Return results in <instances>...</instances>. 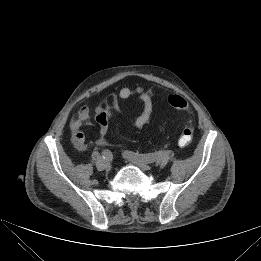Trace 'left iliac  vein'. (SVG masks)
Masks as SVG:
<instances>
[{"instance_id":"obj_1","label":"left iliac vein","mask_w":261,"mask_h":261,"mask_svg":"<svg viewBox=\"0 0 261 261\" xmlns=\"http://www.w3.org/2000/svg\"><path fill=\"white\" fill-rule=\"evenodd\" d=\"M124 157L131 163L137 165L138 167H140L143 170H150L151 166L149 165V163L147 161H144L140 158L137 157H132L130 155H128L127 153L124 154Z\"/></svg>"}]
</instances>
